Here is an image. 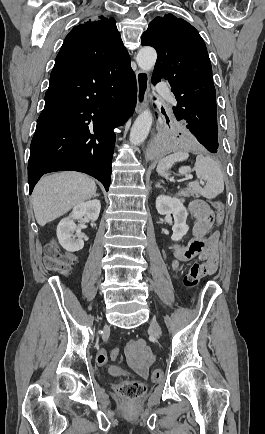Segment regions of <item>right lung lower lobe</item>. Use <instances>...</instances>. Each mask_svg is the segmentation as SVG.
Here are the masks:
<instances>
[{
  "mask_svg": "<svg viewBox=\"0 0 265 434\" xmlns=\"http://www.w3.org/2000/svg\"><path fill=\"white\" fill-rule=\"evenodd\" d=\"M136 94L129 58L55 66L30 146V194L43 174L61 170L87 173L108 191L113 129L133 113Z\"/></svg>",
  "mask_w": 265,
  "mask_h": 434,
  "instance_id": "obj_1",
  "label": "right lung lower lobe"
}]
</instances>
